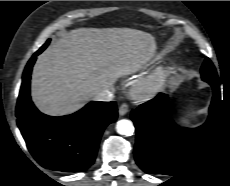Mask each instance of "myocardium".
<instances>
[{
  "label": "myocardium",
  "mask_w": 230,
  "mask_h": 186,
  "mask_svg": "<svg viewBox=\"0 0 230 186\" xmlns=\"http://www.w3.org/2000/svg\"><path fill=\"white\" fill-rule=\"evenodd\" d=\"M174 74V68L165 66L150 76L139 80L132 89V95L137 100H148L162 91Z\"/></svg>",
  "instance_id": "1"
}]
</instances>
